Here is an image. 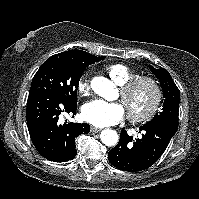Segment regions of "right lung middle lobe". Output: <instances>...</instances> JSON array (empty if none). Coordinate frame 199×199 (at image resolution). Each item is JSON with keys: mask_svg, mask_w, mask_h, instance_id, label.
Returning <instances> with one entry per match:
<instances>
[{"mask_svg": "<svg viewBox=\"0 0 199 199\" xmlns=\"http://www.w3.org/2000/svg\"><path fill=\"white\" fill-rule=\"evenodd\" d=\"M104 59L101 57L99 60ZM88 65L76 64L55 57L48 58L33 77L30 92L49 91L65 102L77 105V87L82 72Z\"/></svg>", "mask_w": 199, "mask_h": 199, "instance_id": "1", "label": "right lung middle lobe"}]
</instances>
